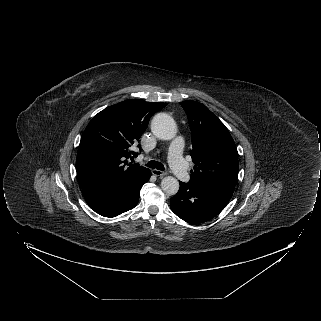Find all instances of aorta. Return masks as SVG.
<instances>
[{"instance_id": "obj_1", "label": "aorta", "mask_w": 321, "mask_h": 321, "mask_svg": "<svg viewBox=\"0 0 321 321\" xmlns=\"http://www.w3.org/2000/svg\"><path fill=\"white\" fill-rule=\"evenodd\" d=\"M151 131L161 140H171L176 135L177 127L170 115L158 113L152 119ZM161 188L165 193L174 195L179 190V182L172 176H166L161 181Z\"/></svg>"}]
</instances>
